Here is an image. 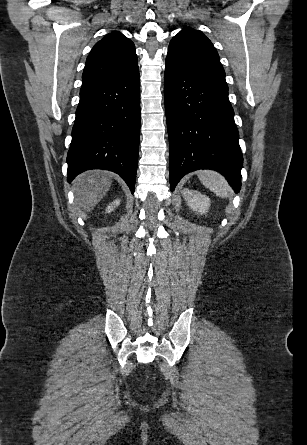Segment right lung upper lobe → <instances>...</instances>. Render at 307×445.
<instances>
[{"label":"right lung upper lobe","instance_id":"1","mask_svg":"<svg viewBox=\"0 0 307 445\" xmlns=\"http://www.w3.org/2000/svg\"><path fill=\"white\" fill-rule=\"evenodd\" d=\"M137 65L133 42L114 31L92 48L82 75L83 85L120 76Z\"/></svg>","mask_w":307,"mask_h":445}]
</instances>
